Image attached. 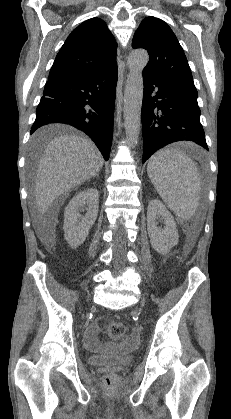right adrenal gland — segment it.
Wrapping results in <instances>:
<instances>
[{
    "mask_svg": "<svg viewBox=\"0 0 231 419\" xmlns=\"http://www.w3.org/2000/svg\"><path fill=\"white\" fill-rule=\"evenodd\" d=\"M96 176H97V177H99V174H96V175H95V177H96Z\"/></svg>",
    "mask_w": 231,
    "mask_h": 419,
    "instance_id": "obj_1",
    "label": "right adrenal gland"
}]
</instances>
